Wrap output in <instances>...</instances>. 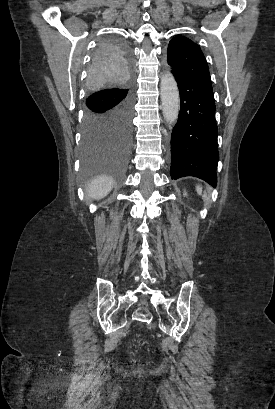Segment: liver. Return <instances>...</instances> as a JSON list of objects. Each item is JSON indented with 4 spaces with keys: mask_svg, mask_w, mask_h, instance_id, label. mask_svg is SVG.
Wrapping results in <instances>:
<instances>
[{
    "mask_svg": "<svg viewBox=\"0 0 275 409\" xmlns=\"http://www.w3.org/2000/svg\"><path fill=\"white\" fill-rule=\"evenodd\" d=\"M113 184L114 182L109 176H104V174L95 176L88 184V196H91V198H103V196H106V194L112 190Z\"/></svg>",
    "mask_w": 275,
    "mask_h": 409,
    "instance_id": "obj_1",
    "label": "liver"
}]
</instances>
